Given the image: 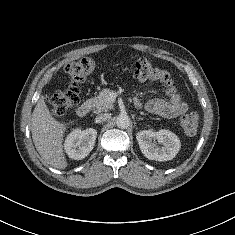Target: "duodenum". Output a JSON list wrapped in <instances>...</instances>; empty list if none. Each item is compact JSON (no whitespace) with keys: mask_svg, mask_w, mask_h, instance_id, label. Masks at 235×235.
I'll return each instance as SVG.
<instances>
[{"mask_svg":"<svg viewBox=\"0 0 235 235\" xmlns=\"http://www.w3.org/2000/svg\"><path fill=\"white\" fill-rule=\"evenodd\" d=\"M90 108L91 106L88 102H83L77 107L76 113L79 117H85L89 113Z\"/></svg>","mask_w":235,"mask_h":235,"instance_id":"obj_1","label":"duodenum"}]
</instances>
